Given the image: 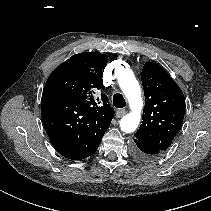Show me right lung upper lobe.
Masks as SVG:
<instances>
[{
    "label": "right lung upper lobe",
    "instance_id": "right-lung-upper-lobe-1",
    "mask_svg": "<svg viewBox=\"0 0 211 211\" xmlns=\"http://www.w3.org/2000/svg\"><path fill=\"white\" fill-rule=\"evenodd\" d=\"M107 62L108 57L98 52L75 54L50 74L43 90L75 99L83 116L110 125L114 109L108 104V98L105 96L103 104L98 106L93 97L103 87L102 74Z\"/></svg>",
    "mask_w": 211,
    "mask_h": 211
}]
</instances>
